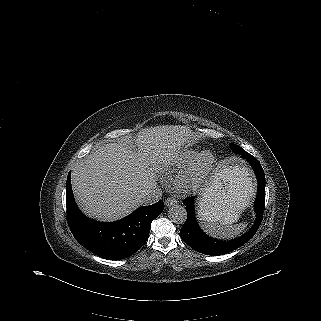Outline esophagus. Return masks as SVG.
<instances>
[{"label": "esophagus", "mask_w": 321, "mask_h": 321, "mask_svg": "<svg viewBox=\"0 0 321 321\" xmlns=\"http://www.w3.org/2000/svg\"><path fill=\"white\" fill-rule=\"evenodd\" d=\"M177 203H178V201H177L175 198H173V197L167 198V199L165 200V206H166V207H171V206H173V205H176Z\"/></svg>", "instance_id": "esophagus-1"}]
</instances>
